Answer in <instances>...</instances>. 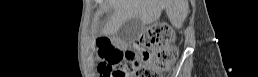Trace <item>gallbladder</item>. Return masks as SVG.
<instances>
[{
	"instance_id": "bac80fb5",
	"label": "gallbladder",
	"mask_w": 258,
	"mask_h": 77,
	"mask_svg": "<svg viewBox=\"0 0 258 77\" xmlns=\"http://www.w3.org/2000/svg\"><path fill=\"white\" fill-rule=\"evenodd\" d=\"M143 31V23L140 18L134 17L125 21L118 30V37L124 42L136 39Z\"/></svg>"
}]
</instances>
